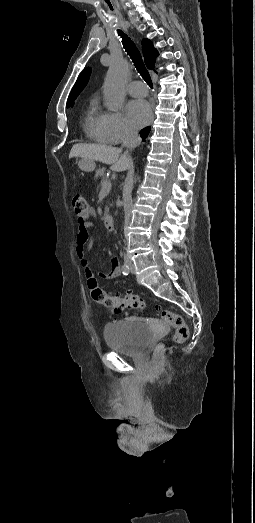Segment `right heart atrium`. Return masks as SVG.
Returning a JSON list of instances; mask_svg holds the SVG:
<instances>
[{
  "mask_svg": "<svg viewBox=\"0 0 255 523\" xmlns=\"http://www.w3.org/2000/svg\"><path fill=\"white\" fill-rule=\"evenodd\" d=\"M111 126L115 136L120 140H126L136 134L135 128L127 121L122 111L110 113Z\"/></svg>",
  "mask_w": 255,
  "mask_h": 523,
  "instance_id": "1",
  "label": "right heart atrium"
}]
</instances>
